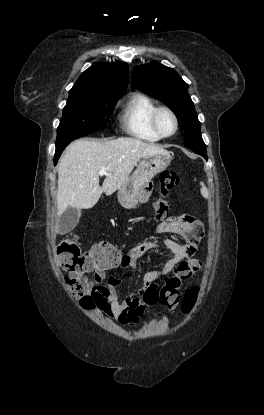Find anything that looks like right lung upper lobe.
<instances>
[{
	"label": "right lung upper lobe",
	"mask_w": 264,
	"mask_h": 415,
	"mask_svg": "<svg viewBox=\"0 0 264 415\" xmlns=\"http://www.w3.org/2000/svg\"><path fill=\"white\" fill-rule=\"evenodd\" d=\"M127 85L126 63H96L79 76L69 97L122 95Z\"/></svg>",
	"instance_id": "obj_1"
}]
</instances>
